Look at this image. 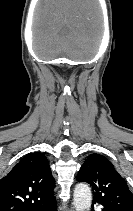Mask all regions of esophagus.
I'll return each mask as SVG.
<instances>
[{
  "instance_id": "obj_1",
  "label": "esophagus",
  "mask_w": 133,
  "mask_h": 211,
  "mask_svg": "<svg viewBox=\"0 0 133 211\" xmlns=\"http://www.w3.org/2000/svg\"><path fill=\"white\" fill-rule=\"evenodd\" d=\"M70 211H74V208H71Z\"/></svg>"
}]
</instances>
